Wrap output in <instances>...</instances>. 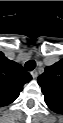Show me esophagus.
Segmentation results:
<instances>
[{"mask_svg":"<svg viewBox=\"0 0 63 123\" xmlns=\"http://www.w3.org/2000/svg\"><path fill=\"white\" fill-rule=\"evenodd\" d=\"M31 75L33 78H36L38 76V71L37 70L31 71Z\"/></svg>","mask_w":63,"mask_h":123,"instance_id":"34e87169","label":"esophagus"}]
</instances>
